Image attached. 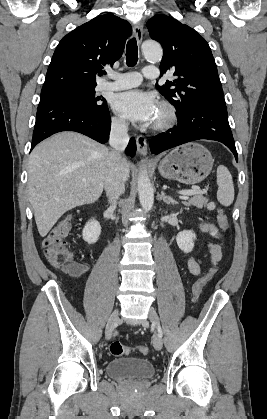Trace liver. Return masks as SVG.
<instances>
[{"instance_id": "1", "label": "liver", "mask_w": 267, "mask_h": 419, "mask_svg": "<svg viewBox=\"0 0 267 419\" xmlns=\"http://www.w3.org/2000/svg\"><path fill=\"white\" fill-rule=\"evenodd\" d=\"M109 150L76 132H60L38 144L28 162L29 201L40 236L67 211L101 196ZM126 179L130 164L123 159Z\"/></svg>"}]
</instances>
